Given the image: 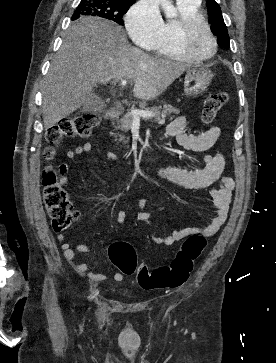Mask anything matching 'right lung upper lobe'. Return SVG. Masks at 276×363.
Wrapping results in <instances>:
<instances>
[{
  "mask_svg": "<svg viewBox=\"0 0 276 363\" xmlns=\"http://www.w3.org/2000/svg\"><path fill=\"white\" fill-rule=\"evenodd\" d=\"M117 1H125V2H133L134 3L135 0H117Z\"/></svg>",
  "mask_w": 276,
  "mask_h": 363,
  "instance_id": "obj_1",
  "label": "right lung upper lobe"
}]
</instances>
